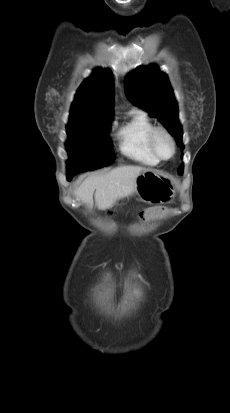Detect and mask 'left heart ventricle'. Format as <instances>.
Returning <instances> with one entry per match:
<instances>
[{"mask_svg":"<svg viewBox=\"0 0 230 413\" xmlns=\"http://www.w3.org/2000/svg\"><path fill=\"white\" fill-rule=\"evenodd\" d=\"M156 147L163 157H169L172 154V146L169 140L162 134L158 135L156 139Z\"/></svg>","mask_w":230,"mask_h":413,"instance_id":"1","label":"left heart ventricle"}]
</instances>
